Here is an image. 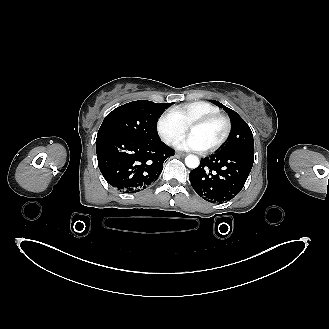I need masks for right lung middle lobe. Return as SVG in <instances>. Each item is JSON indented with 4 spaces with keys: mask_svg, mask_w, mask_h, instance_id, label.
Returning <instances> with one entry per match:
<instances>
[{
    "mask_svg": "<svg viewBox=\"0 0 329 329\" xmlns=\"http://www.w3.org/2000/svg\"><path fill=\"white\" fill-rule=\"evenodd\" d=\"M173 103H154L147 100L133 101L111 111L104 119L97 136L115 134L137 139L157 141V120Z\"/></svg>",
    "mask_w": 329,
    "mask_h": 329,
    "instance_id": "1",
    "label": "right lung middle lobe"
}]
</instances>
